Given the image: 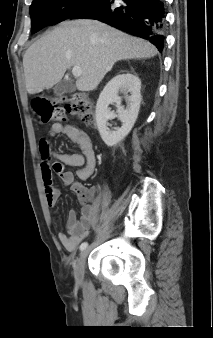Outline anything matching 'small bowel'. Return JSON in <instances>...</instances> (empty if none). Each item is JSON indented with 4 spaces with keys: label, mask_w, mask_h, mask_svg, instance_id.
Here are the masks:
<instances>
[{
    "label": "small bowel",
    "mask_w": 213,
    "mask_h": 338,
    "mask_svg": "<svg viewBox=\"0 0 213 338\" xmlns=\"http://www.w3.org/2000/svg\"><path fill=\"white\" fill-rule=\"evenodd\" d=\"M59 134H64L77 144L80 152L68 154L53 151L49 140L46 137H41L38 141L41 156L40 168L48 207H55L61 195L60 189L55 185L53 172L63 184L70 186L83 205L80 218H77L73 212L69 213L66 232L58 234V239L64 248L68 252H74L89 235L93 223V197L96 194V188L87 187L81 182L88 179L93 173L96 159L92 140L81 129L73 124L53 123L49 128V135L56 136ZM65 165L74 167L75 173L66 170Z\"/></svg>",
    "instance_id": "c3829d8e"
}]
</instances>
